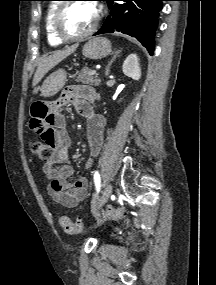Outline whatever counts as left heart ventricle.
Segmentation results:
<instances>
[{
	"mask_svg": "<svg viewBox=\"0 0 216 285\" xmlns=\"http://www.w3.org/2000/svg\"><path fill=\"white\" fill-rule=\"evenodd\" d=\"M96 15L97 9L92 3H73L64 14L63 28L70 35L84 33L93 25Z\"/></svg>",
	"mask_w": 216,
	"mask_h": 285,
	"instance_id": "b2bd125f",
	"label": "left heart ventricle"
}]
</instances>
